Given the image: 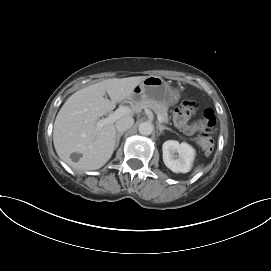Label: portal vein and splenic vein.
Wrapping results in <instances>:
<instances>
[{"instance_id": "portal-vein-and-splenic-vein-1", "label": "portal vein and splenic vein", "mask_w": 271, "mask_h": 271, "mask_svg": "<svg viewBox=\"0 0 271 271\" xmlns=\"http://www.w3.org/2000/svg\"><path fill=\"white\" fill-rule=\"evenodd\" d=\"M131 110L128 107H119L115 112H112L108 115V117L103 118L96 123L97 130H100L105 125H108L110 123H114L116 120H118L120 117L130 113ZM159 122H163L162 117L160 115L157 116Z\"/></svg>"}]
</instances>
